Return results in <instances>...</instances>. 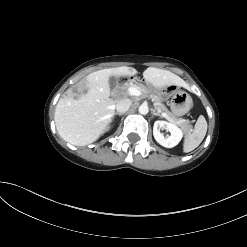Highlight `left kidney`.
Here are the masks:
<instances>
[{
  "mask_svg": "<svg viewBox=\"0 0 247 247\" xmlns=\"http://www.w3.org/2000/svg\"><path fill=\"white\" fill-rule=\"evenodd\" d=\"M160 129L168 130L171 133V135L165 138L160 132ZM153 136L160 145L166 148H172L181 141L183 137V132L179 127L172 123L157 120L155 121L153 126Z\"/></svg>",
  "mask_w": 247,
  "mask_h": 247,
  "instance_id": "1",
  "label": "left kidney"
}]
</instances>
